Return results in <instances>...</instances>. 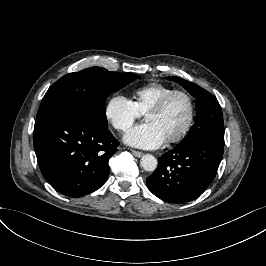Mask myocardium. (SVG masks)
I'll return each mask as SVG.
<instances>
[{"mask_svg": "<svg viewBox=\"0 0 266 266\" xmlns=\"http://www.w3.org/2000/svg\"><path fill=\"white\" fill-rule=\"evenodd\" d=\"M178 95H181V96L186 98V100L189 103L190 113H189V117L187 119V122L182 127L180 132L175 137L166 139V141L170 144L179 143L187 135V133L189 132V130L191 129V127L194 123L195 116H196V103H195V100H194V97L192 96V94L186 90H183V89L171 90L170 92L163 95L155 104L150 106L148 108V110L145 112L147 114L149 112H162V111H164L165 108L167 107V105L169 104V102L175 96H178Z\"/></svg>", "mask_w": 266, "mask_h": 266, "instance_id": "obj_1", "label": "myocardium"}]
</instances>
